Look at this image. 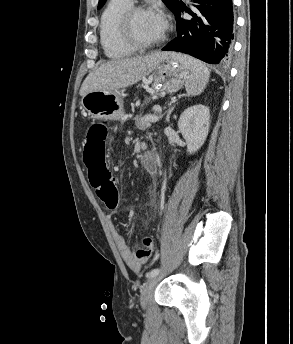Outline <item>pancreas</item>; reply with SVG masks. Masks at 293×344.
<instances>
[{
  "label": "pancreas",
  "mask_w": 293,
  "mask_h": 344,
  "mask_svg": "<svg viewBox=\"0 0 293 344\" xmlns=\"http://www.w3.org/2000/svg\"><path fill=\"white\" fill-rule=\"evenodd\" d=\"M148 125H149V121H145L142 125H140V127L142 129H146L148 127Z\"/></svg>",
  "instance_id": "pancreas-1"
}]
</instances>
